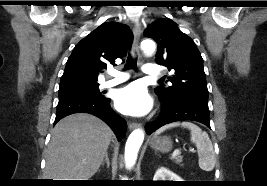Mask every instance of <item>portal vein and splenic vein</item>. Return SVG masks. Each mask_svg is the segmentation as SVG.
I'll return each mask as SVG.
<instances>
[{
    "label": "portal vein and splenic vein",
    "instance_id": "1",
    "mask_svg": "<svg viewBox=\"0 0 267 186\" xmlns=\"http://www.w3.org/2000/svg\"><path fill=\"white\" fill-rule=\"evenodd\" d=\"M178 154H179V150L176 149V150L173 152L172 157L174 158V157H176Z\"/></svg>",
    "mask_w": 267,
    "mask_h": 186
}]
</instances>
